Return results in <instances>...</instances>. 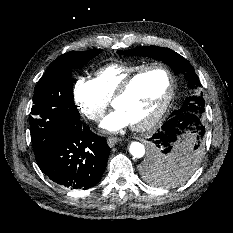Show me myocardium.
I'll use <instances>...</instances> for the list:
<instances>
[{
  "label": "myocardium",
  "instance_id": "myocardium-1",
  "mask_svg": "<svg viewBox=\"0 0 233 233\" xmlns=\"http://www.w3.org/2000/svg\"><path fill=\"white\" fill-rule=\"evenodd\" d=\"M154 69L163 70L167 74L169 80L168 91L158 109L148 119L138 124H131V128L135 131H146L151 129L160 121L167 111L175 92V80L172 72L163 64L155 63L147 65L126 78L111 99V104L115 108L118 101H120L129 92L135 82L145 73Z\"/></svg>",
  "mask_w": 233,
  "mask_h": 233
}]
</instances>
